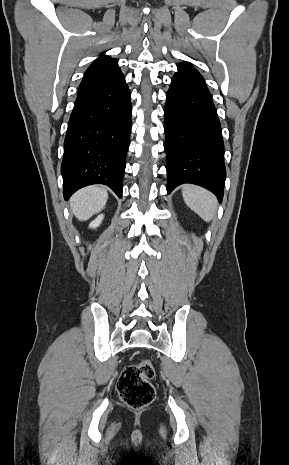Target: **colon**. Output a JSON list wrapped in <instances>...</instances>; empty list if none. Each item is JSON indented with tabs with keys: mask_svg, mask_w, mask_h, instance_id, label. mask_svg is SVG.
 Masks as SVG:
<instances>
[{
	"mask_svg": "<svg viewBox=\"0 0 289 465\" xmlns=\"http://www.w3.org/2000/svg\"><path fill=\"white\" fill-rule=\"evenodd\" d=\"M154 376V366L148 359L127 366L117 385L121 400L133 409H140L151 404L155 398V389L151 383Z\"/></svg>",
	"mask_w": 289,
	"mask_h": 465,
	"instance_id": "5ec220e1",
	"label": "colon"
}]
</instances>
